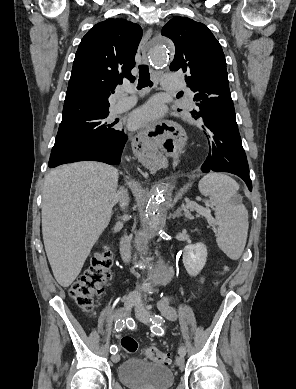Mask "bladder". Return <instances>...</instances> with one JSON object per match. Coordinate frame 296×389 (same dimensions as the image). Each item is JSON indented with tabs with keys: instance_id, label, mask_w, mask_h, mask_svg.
<instances>
[{
	"instance_id": "31cf9c89",
	"label": "bladder",
	"mask_w": 296,
	"mask_h": 389,
	"mask_svg": "<svg viewBox=\"0 0 296 389\" xmlns=\"http://www.w3.org/2000/svg\"><path fill=\"white\" fill-rule=\"evenodd\" d=\"M118 378L129 389H169L174 383V375L167 366L136 358L122 362Z\"/></svg>"
}]
</instances>
